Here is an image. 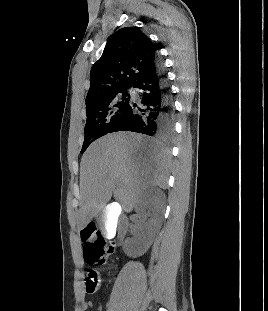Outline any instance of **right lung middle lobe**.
<instances>
[{
  "mask_svg": "<svg viewBox=\"0 0 268 311\" xmlns=\"http://www.w3.org/2000/svg\"><path fill=\"white\" fill-rule=\"evenodd\" d=\"M129 88L117 90L86 109L87 121L81 153L93 141L110 132L130 102Z\"/></svg>",
  "mask_w": 268,
  "mask_h": 311,
  "instance_id": "dd1d6c3e",
  "label": "right lung middle lobe"
}]
</instances>
